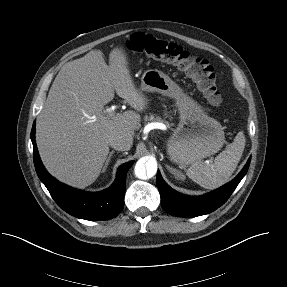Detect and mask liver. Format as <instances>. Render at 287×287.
Instances as JSON below:
<instances>
[{
    "mask_svg": "<svg viewBox=\"0 0 287 287\" xmlns=\"http://www.w3.org/2000/svg\"><path fill=\"white\" fill-rule=\"evenodd\" d=\"M114 91L135 111L110 117L104 106ZM148 99L135 87L122 47L109 55L101 50L67 62L56 76L38 116L36 142L51 175L76 188L91 185L109 154V140L124 139L131 147Z\"/></svg>",
    "mask_w": 287,
    "mask_h": 287,
    "instance_id": "liver-1",
    "label": "liver"
}]
</instances>
